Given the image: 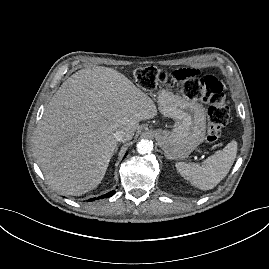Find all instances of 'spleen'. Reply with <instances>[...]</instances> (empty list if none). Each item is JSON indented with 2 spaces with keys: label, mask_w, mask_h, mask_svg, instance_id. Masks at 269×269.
Wrapping results in <instances>:
<instances>
[{
  "label": "spleen",
  "mask_w": 269,
  "mask_h": 269,
  "mask_svg": "<svg viewBox=\"0 0 269 269\" xmlns=\"http://www.w3.org/2000/svg\"><path fill=\"white\" fill-rule=\"evenodd\" d=\"M237 155V142L231 141L223 150L216 151L202 164L178 162L180 175L201 190H209L220 183L230 171Z\"/></svg>",
  "instance_id": "1"
}]
</instances>
